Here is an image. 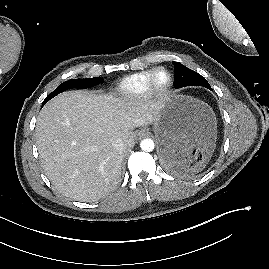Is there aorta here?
<instances>
[{"mask_svg":"<svg viewBox=\"0 0 269 269\" xmlns=\"http://www.w3.org/2000/svg\"><path fill=\"white\" fill-rule=\"evenodd\" d=\"M140 147L145 152H151V151H153L155 144H154V141L152 139L146 138V139L141 141Z\"/></svg>","mask_w":269,"mask_h":269,"instance_id":"1","label":"aorta"}]
</instances>
